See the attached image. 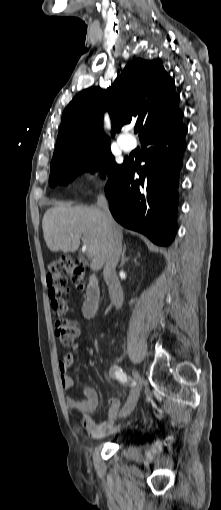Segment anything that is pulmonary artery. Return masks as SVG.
Masks as SVG:
<instances>
[{"instance_id":"1","label":"pulmonary artery","mask_w":221,"mask_h":510,"mask_svg":"<svg viewBox=\"0 0 221 510\" xmlns=\"http://www.w3.org/2000/svg\"><path fill=\"white\" fill-rule=\"evenodd\" d=\"M119 145L125 150L130 151L134 148V141L131 135L122 134L118 138Z\"/></svg>"}]
</instances>
